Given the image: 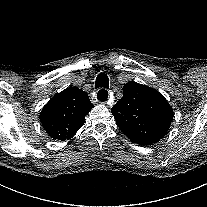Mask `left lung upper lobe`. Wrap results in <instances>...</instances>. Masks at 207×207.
<instances>
[{"instance_id": "1", "label": "left lung upper lobe", "mask_w": 207, "mask_h": 207, "mask_svg": "<svg viewBox=\"0 0 207 207\" xmlns=\"http://www.w3.org/2000/svg\"><path fill=\"white\" fill-rule=\"evenodd\" d=\"M111 112L120 130L139 145L162 139L173 119V110L160 92L134 81L123 86V97Z\"/></svg>"}]
</instances>
